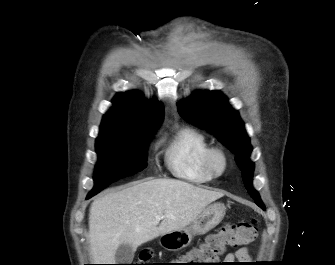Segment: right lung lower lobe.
<instances>
[{"mask_svg":"<svg viewBox=\"0 0 335 265\" xmlns=\"http://www.w3.org/2000/svg\"><path fill=\"white\" fill-rule=\"evenodd\" d=\"M90 197H92V196L88 195V196H87V199H89Z\"/></svg>","mask_w":335,"mask_h":265,"instance_id":"right-lung-lower-lobe-1","label":"right lung lower lobe"}]
</instances>
